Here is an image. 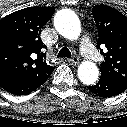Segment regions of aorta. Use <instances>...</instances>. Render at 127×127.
<instances>
[{"mask_svg":"<svg viewBox=\"0 0 127 127\" xmlns=\"http://www.w3.org/2000/svg\"><path fill=\"white\" fill-rule=\"evenodd\" d=\"M56 30L69 40H76L81 33L80 21L77 15L70 10L59 11L54 19ZM99 76V69L95 63L84 61L78 68V77L83 84H94Z\"/></svg>","mask_w":127,"mask_h":127,"instance_id":"aorta-1","label":"aorta"}]
</instances>
